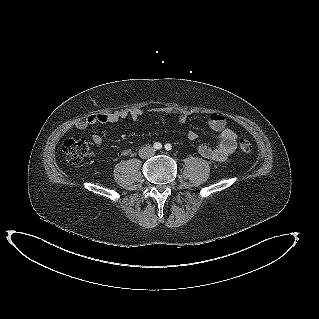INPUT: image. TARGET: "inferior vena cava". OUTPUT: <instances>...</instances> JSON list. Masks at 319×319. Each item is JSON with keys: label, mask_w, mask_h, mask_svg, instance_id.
<instances>
[{"label": "inferior vena cava", "mask_w": 319, "mask_h": 319, "mask_svg": "<svg viewBox=\"0 0 319 319\" xmlns=\"http://www.w3.org/2000/svg\"><path fill=\"white\" fill-rule=\"evenodd\" d=\"M154 152H155V150L153 149V147L145 146L139 150V155L141 158H147V157L152 156L154 154Z\"/></svg>", "instance_id": "1"}]
</instances>
